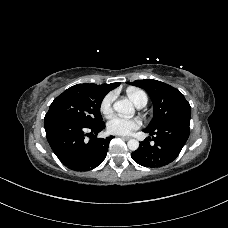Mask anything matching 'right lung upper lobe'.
<instances>
[{
    "label": "right lung upper lobe",
    "mask_w": 228,
    "mask_h": 228,
    "mask_svg": "<svg viewBox=\"0 0 228 228\" xmlns=\"http://www.w3.org/2000/svg\"><path fill=\"white\" fill-rule=\"evenodd\" d=\"M119 85L120 83H111V84H105V85L103 84V85H97V86H99V88H101L106 93H108L109 91H111L112 89L116 88Z\"/></svg>",
    "instance_id": "right-lung-upper-lobe-1"
}]
</instances>
